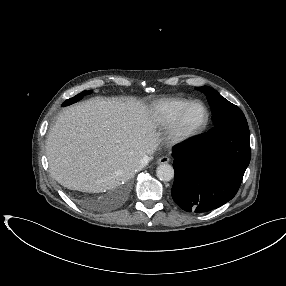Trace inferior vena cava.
<instances>
[{
	"label": "inferior vena cava",
	"instance_id": "602c4592",
	"mask_svg": "<svg viewBox=\"0 0 286 286\" xmlns=\"http://www.w3.org/2000/svg\"><path fill=\"white\" fill-rule=\"evenodd\" d=\"M149 162V157L148 156H144L137 164L136 168L141 169L144 166L147 165V163Z\"/></svg>",
	"mask_w": 286,
	"mask_h": 286
}]
</instances>
